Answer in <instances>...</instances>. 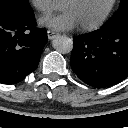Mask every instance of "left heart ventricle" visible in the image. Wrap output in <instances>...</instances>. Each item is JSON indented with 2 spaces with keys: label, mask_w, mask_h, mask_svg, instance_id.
<instances>
[{
  "label": "left heart ventricle",
  "mask_w": 128,
  "mask_h": 128,
  "mask_svg": "<svg viewBox=\"0 0 128 128\" xmlns=\"http://www.w3.org/2000/svg\"><path fill=\"white\" fill-rule=\"evenodd\" d=\"M110 2L111 0H63L61 7L71 12L80 26L95 22Z\"/></svg>",
  "instance_id": "1"
}]
</instances>
